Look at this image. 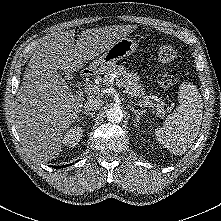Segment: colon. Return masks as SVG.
<instances>
[{
  "instance_id": "1",
  "label": "colon",
  "mask_w": 221,
  "mask_h": 221,
  "mask_svg": "<svg viewBox=\"0 0 221 221\" xmlns=\"http://www.w3.org/2000/svg\"><path fill=\"white\" fill-rule=\"evenodd\" d=\"M159 63L164 68L163 73L159 76V85L164 90L171 89L176 83V76L172 72L177 59L176 50L169 44H160L157 50Z\"/></svg>"
}]
</instances>
